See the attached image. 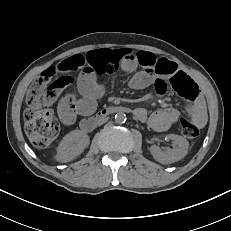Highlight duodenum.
<instances>
[{"mask_svg": "<svg viewBox=\"0 0 231 231\" xmlns=\"http://www.w3.org/2000/svg\"><path fill=\"white\" fill-rule=\"evenodd\" d=\"M116 113H132L135 116L138 114L137 110L131 109L127 106L110 105L83 119L80 127L83 131L90 132L98 125V120H100V118L109 117Z\"/></svg>", "mask_w": 231, "mask_h": 231, "instance_id": "410a0bca", "label": "duodenum"}]
</instances>
